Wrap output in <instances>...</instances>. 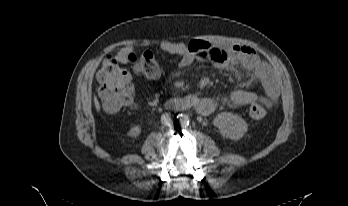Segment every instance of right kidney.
I'll return each instance as SVG.
<instances>
[{
  "mask_svg": "<svg viewBox=\"0 0 348 206\" xmlns=\"http://www.w3.org/2000/svg\"><path fill=\"white\" fill-rule=\"evenodd\" d=\"M140 133H141V126L135 125L129 130L128 136L137 137L139 136Z\"/></svg>",
  "mask_w": 348,
  "mask_h": 206,
  "instance_id": "right-kidney-1",
  "label": "right kidney"
}]
</instances>
